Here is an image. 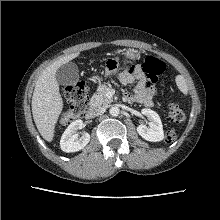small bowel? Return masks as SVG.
<instances>
[{
	"instance_id": "obj_1",
	"label": "small bowel",
	"mask_w": 220,
	"mask_h": 220,
	"mask_svg": "<svg viewBox=\"0 0 220 220\" xmlns=\"http://www.w3.org/2000/svg\"><path fill=\"white\" fill-rule=\"evenodd\" d=\"M119 80L124 85L136 81L134 93H124L123 97L126 101H137L146 106L153 105L154 89L148 84L144 73L139 67L128 66L125 71L120 73Z\"/></svg>"
}]
</instances>
